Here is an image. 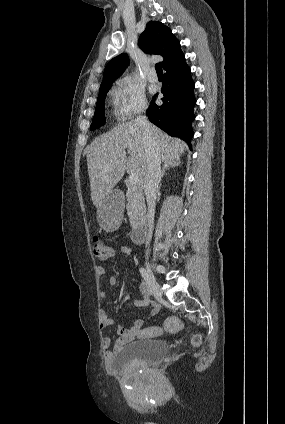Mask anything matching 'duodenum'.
<instances>
[{
  "label": "duodenum",
  "mask_w": 285,
  "mask_h": 424,
  "mask_svg": "<svg viewBox=\"0 0 285 424\" xmlns=\"http://www.w3.org/2000/svg\"><path fill=\"white\" fill-rule=\"evenodd\" d=\"M147 233L146 225H139L132 231V241L135 244H142L145 241Z\"/></svg>",
  "instance_id": "1"
}]
</instances>
